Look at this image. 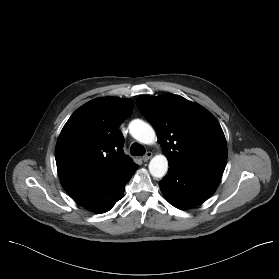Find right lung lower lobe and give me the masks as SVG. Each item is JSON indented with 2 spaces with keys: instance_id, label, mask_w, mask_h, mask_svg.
Segmentation results:
<instances>
[{
  "instance_id": "1",
  "label": "right lung lower lobe",
  "mask_w": 279,
  "mask_h": 279,
  "mask_svg": "<svg viewBox=\"0 0 279 279\" xmlns=\"http://www.w3.org/2000/svg\"><path fill=\"white\" fill-rule=\"evenodd\" d=\"M135 170L131 171L111 186L97 193L76 199L75 201L97 214L109 211L115 203L124 196V186L129 182Z\"/></svg>"
}]
</instances>
